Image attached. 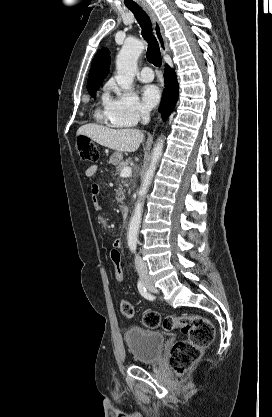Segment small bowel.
Instances as JSON below:
<instances>
[{
	"label": "small bowel",
	"mask_w": 272,
	"mask_h": 417,
	"mask_svg": "<svg viewBox=\"0 0 272 417\" xmlns=\"http://www.w3.org/2000/svg\"><path fill=\"white\" fill-rule=\"evenodd\" d=\"M98 169V166L96 164H93L91 166H89L86 170H85V176L87 178H91L94 176V174L96 173ZM90 195H91V199H92V203L94 205V207L96 209H99L101 207V203H100V189L99 186L97 184H93L91 186V191H90ZM121 240L120 239H115L112 243V248H116V249H120L121 248Z\"/></svg>",
	"instance_id": "obj_1"
}]
</instances>
